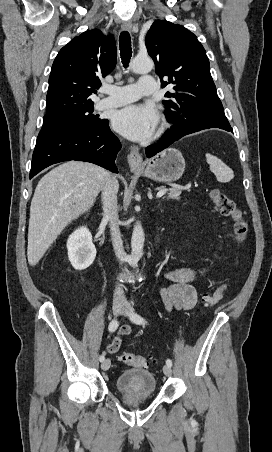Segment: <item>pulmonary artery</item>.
<instances>
[{"label": "pulmonary artery", "instance_id": "1", "mask_svg": "<svg viewBox=\"0 0 272 452\" xmlns=\"http://www.w3.org/2000/svg\"><path fill=\"white\" fill-rule=\"evenodd\" d=\"M157 83L153 77H142L136 84L124 86H104L102 92L107 97L101 99L96 107L99 110L115 108L139 99L142 96L153 95L156 92Z\"/></svg>", "mask_w": 272, "mask_h": 452}]
</instances>
